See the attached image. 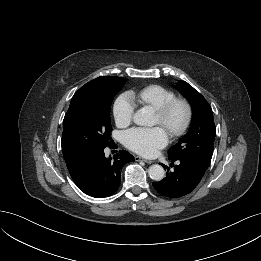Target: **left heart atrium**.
I'll use <instances>...</instances> for the list:
<instances>
[{"instance_id": "39dd6f15", "label": "left heart atrium", "mask_w": 261, "mask_h": 261, "mask_svg": "<svg viewBox=\"0 0 261 261\" xmlns=\"http://www.w3.org/2000/svg\"><path fill=\"white\" fill-rule=\"evenodd\" d=\"M168 135L162 127L133 128L124 135L125 145L132 151L143 156H152L163 148Z\"/></svg>"}]
</instances>
